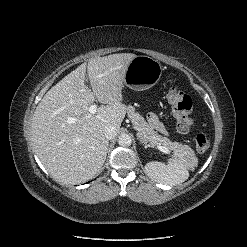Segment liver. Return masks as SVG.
<instances>
[{
    "label": "liver",
    "mask_w": 247,
    "mask_h": 247,
    "mask_svg": "<svg viewBox=\"0 0 247 247\" xmlns=\"http://www.w3.org/2000/svg\"><path fill=\"white\" fill-rule=\"evenodd\" d=\"M132 53L111 54L81 64L53 86L36 107L31 133L35 153L56 180L78 184L96 176L106 159L107 125L119 131L127 107L123 81ZM88 74L91 89L85 84ZM98 100L92 115L89 107Z\"/></svg>",
    "instance_id": "liver-1"
}]
</instances>
